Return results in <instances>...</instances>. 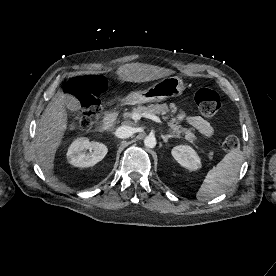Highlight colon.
Listing matches in <instances>:
<instances>
[{"mask_svg": "<svg viewBox=\"0 0 276 276\" xmlns=\"http://www.w3.org/2000/svg\"><path fill=\"white\" fill-rule=\"evenodd\" d=\"M105 89V81L97 76L73 78L67 82L66 92L80 101L79 110L68 122L70 130L76 128L87 130L93 126L100 113L99 96ZM194 101L199 111L205 116L215 115L220 108L219 95L208 87L199 88L195 92ZM239 145L238 138L233 135L228 136L223 142V148L230 152L238 150Z\"/></svg>", "mask_w": 276, "mask_h": 276, "instance_id": "obj_1", "label": "colon"}]
</instances>
